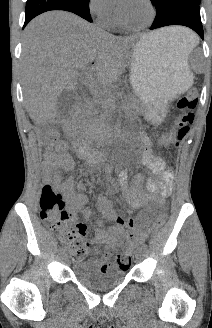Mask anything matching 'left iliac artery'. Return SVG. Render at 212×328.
<instances>
[{"label":"left iliac artery","mask_w":212,"mask_h":328,"mask_svg":"<svg viewBox=\"0 0 212 328\" xmlns=\"http://www.w3.org/2000/svg\"><path fill=\"white\" fill-rule=\"evenodd\" d=\"M141 247L145 250V249H147V245L145 244V243H142L141 244Z\"/></svg>","instance_id":"left-iliac-artery-1"}]
</instances>
